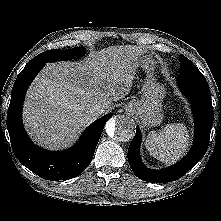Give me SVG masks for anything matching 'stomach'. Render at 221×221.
Returning <instances> with one entry per match:
<instances>
[{
  "instance_id": "1",
  "label": "stomach",
  "mask_w": 221,
  "mask_h": 221,
  "mask_svg": "<svg viewBox=\"0 0 221 221\" xmlns=\"http://www.w3.org/2000/svg\"><path fill=\"white\" fill-rule=\"evenodd\" d=\"M139 67L147 74L142 86L141 98L126 104L125 111L129 116L138 119L144 127H154L164 118L162 101L166 90L155 82L153 77L155 62L149 55L140 57Z\"/></svg>"
}]
</instances>
